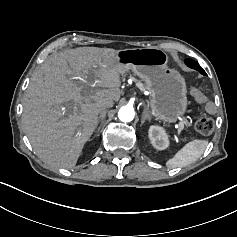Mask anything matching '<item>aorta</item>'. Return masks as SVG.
<instances>
[{"instance_id":"obj_1","label":"aorta","mask_w":237,"mask_h":237,"mask_svg":"<svg viewBox=\"0 0 237 237\" xmlns=\"http://www.w3.org/2000/svg\"><path fill=\"white\" fill-rule=\"evenodd\" d=\"M134 109L129 106H122L119 109L118 117L122 122H130L134 119Z\"/></svg>"}]
</instances>
